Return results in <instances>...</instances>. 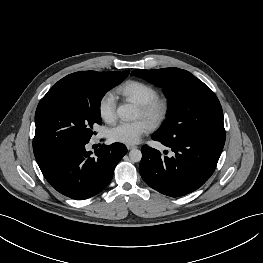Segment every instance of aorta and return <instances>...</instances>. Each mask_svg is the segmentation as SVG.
Instances as JSON below:
<instances>
[{"instance_id": "762f6f07", "label": "aorta", "mask_w": 263, "mask_h": 263, "mask_svg": "<svg viewBox=\"0 0 263 263\" xmlns=\"http://www.w3.org/2000/svg\"><path fill=\"white\" fill-rule=\"evenodd\" d=\"M117 114L123 119L133 120L138 117V111L132 104H124L118 107ZM129 158L132 162H139L142 158V153L138 149H132L129 152Z\"/></svg>"}]
</instances>
